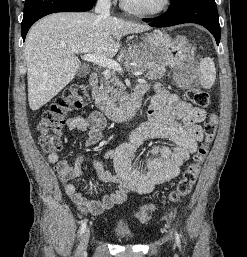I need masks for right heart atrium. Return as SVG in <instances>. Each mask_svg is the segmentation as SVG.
Segmentation results:
<instances>
[{
  "label": "right heart atrium",
  "instance_id": "right-heart-atrium-1",
  "mask_svg": "<svg viewBox=\"0 0 247 257\" xmlns=\"http://www.w3.org/2000/svg\"><path fill=\"white\" fill-rule=\"evenodd\" d=\"M106 3H110L112 0H103Z\"/></svg>",
  "mask_w": 247,
  "mask_h": 257
}]
</instances>
